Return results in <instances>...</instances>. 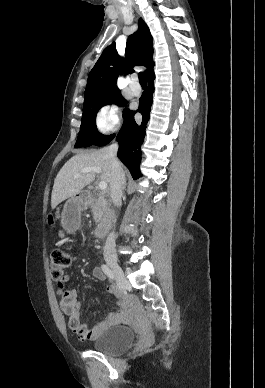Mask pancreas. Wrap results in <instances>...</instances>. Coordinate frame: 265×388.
<instances>
[{"instance_id":"pancreas-1","label":"pancreas","mask_w":265,"mask_h":388,"mask_svg":"<svg viewBox=\"0 0 265 388\" xmlns=\"http://www.w3.org/2000/svg\"><path fill=\"white\" fill-rule=\"evenodd\" d=\"M107 210H109L108 202H106L104 198H98V200H95V204L92 208V212H93V218L95 222H97V224L98 222H100V220H102V216L106 214Z\"/></svg>"}]
</instances>
